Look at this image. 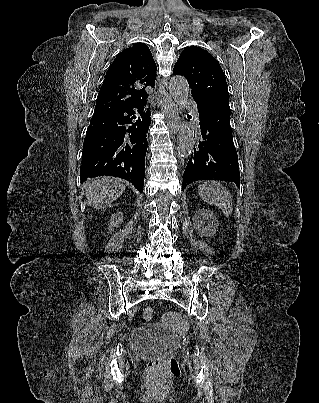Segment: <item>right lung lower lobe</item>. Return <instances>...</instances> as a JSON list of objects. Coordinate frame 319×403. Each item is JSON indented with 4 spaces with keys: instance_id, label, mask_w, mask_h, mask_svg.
<instances>
[{
    "instance_id": "right-lung-lower-lobe-1",
    "label": "right lung lower lobe",
    "mask_w": 319,
    "mask_h": 403,
    "mask_svg": "<svg viewBox=\"0 0 319 403\" xmlns=\"http://www.w3.org/2000/svg\"><path fill=\"white\" fill-rule=\"evenodd\" d=\"M145 102L122 110L95 114L91 118L83 143L81 181L98 176H115L130 181L143 192L146 132L151 122L150 111L142 113ZM140 111L141 117L130 118ZM134 118V116L132 117ZM125 124H132L125 127Z\"/></svg>"
}]
</instances>
